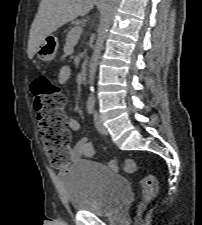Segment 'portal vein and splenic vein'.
Segmentation results:
<instances>
[{
	"label": "portal vein and splenic vein",
	"instance_id": "obj_1",
	"mask_svg": "<svg viewBox=\"0 0 202 225\" xmlns=\"http://www.w3.org/2000/svg\"><path fill=\"white\" fill-rule=\"evenodd\" d=\"M81 34H82V27L81 26H75L68 33L67 38H66V42L76 44L78 42Z\"/></svg>",
	"mask_w": 202,
	"mask_h": 225
}]
</instances>
